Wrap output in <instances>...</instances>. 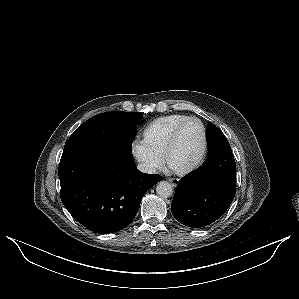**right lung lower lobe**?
<instances>
[{
  "mask_svg": "<svg viewBox=\"0 0 299 299\" xmlns=\"http://www.w3.org/2000/svg\"><path fill=\"white\" fill-rule=\"evenodd\" d=\"M61 200L91 231L107 234L128 226L144 193L162 177L140 172L131 151L96 140H67L59 164Z\"/></svg>",
  "mask_w": 299,
  "mask_h": 299,
  "instance_id": "1",
  "label": "right lung lower lobe"
}]
</instances>
